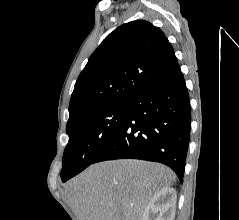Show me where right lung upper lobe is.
<instances>
[{"label": "right lung upper lobe", "instance_id": "obj_1", "mask_svg": "<svg viewBox=\"0 0 239 220\" xmlns=\"http://www.w3.org/2000/svg\"><path fill=\"white\" fill-rule=\"evenodd\" d=\"M177 64L164 33L144 20L121 25L94 51L79 75L67 125L110 106L128 103Z\"/></svg>", "mask_w": 239, "mask_h": 220}]
</instances>
